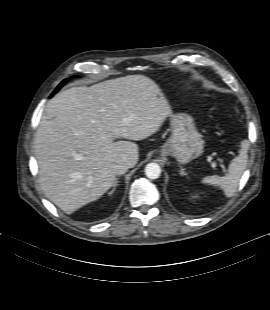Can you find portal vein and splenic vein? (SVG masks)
<instances>
[{
  "label": "portal vein and splenic vein",
  "instance_id": "1",
  "mask_svg": "<svg viewBox=\"0 0 270 310\" xmlns=\"http://www.w3.org/2000/svg\"><path fill=\"white\" fill-rule=\"evenodd\" d=\"M211 165H212L213 168L216 167V163L215 162H212Z\"/></svg>",
  "mask_w": 270,
  "mask_h": 310
}]
</instances>
